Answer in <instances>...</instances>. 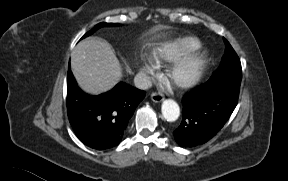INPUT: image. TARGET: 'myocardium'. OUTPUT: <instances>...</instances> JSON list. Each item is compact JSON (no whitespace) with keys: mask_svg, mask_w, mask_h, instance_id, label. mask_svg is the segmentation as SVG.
I'll use <instances>...</instances> for the list:
<instances>
[{"mask_svg":"<svg viewBox=\"0 0 288 181\" xmlns=\"http://www.w3.org/2000/svg\"><path fill=\"white\" fill-rule=\"evenodd\" d=\"M209 63L206 51H196L181 59L169 74L170 81L182 88L195 85L204 74Z\"/></svg>","mask_w":288,"mask_h":181,"instance_id":"f54148a6","label":"myocardium"}]
</instances>
